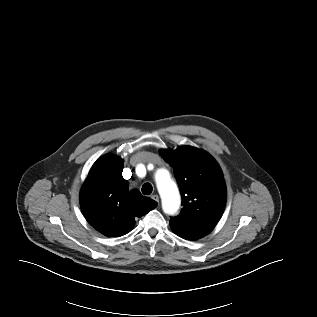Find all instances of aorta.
<instances>
[{
    "label": "aorta",
    "instance_id": "762f6f07",
    "mask_svg": "<svg viewBox=\"0 0 317 317\" xmlns=\"http://www.w3.org/2000/svg\"><path fill=\"white\" fill-rule=\"evenodd\" d=\"M158 191L162 198V207L165 213L174 214L178 211L181 200L176 183L172 180L167 168H158L154 173Z\"/></svg>",
    "mask_w": 317,
    "mask_h": 317
}]
</instances>
